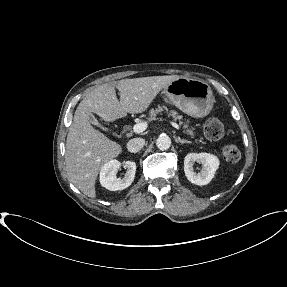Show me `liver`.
<instances>
[{
  "mask_svg": "<svg viewBox=\"0 0 287 287\" xmlns=\"http://www.w3.org/2000/svg\"><path fill=\"white\" fill-rule=\"evenodd\" d=\"M178 78L170 75L123 79L88 93L78 105L67 135L65 163L69 181L86 196L95 198L99 171L122 151L119 144L91 126L89 113H96L106 122L123 118L127 113H142L161 90Z\"/></svg>",
  "mask_w": 287,
  "mask_h": 287,
  "instance_id": "6515ba94",
  "label": "liver"
}]
</instances>
